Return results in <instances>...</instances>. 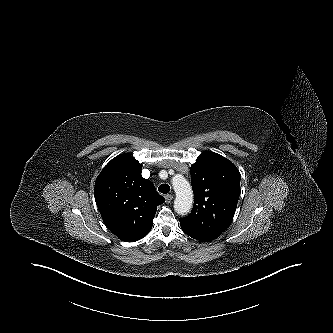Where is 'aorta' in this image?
Wrapping results in <instances>:
<instances>
[{
	"label": "aorta",
	"mask_w": 333,
	"mask_h": 333,
	"mask_svg": "<svg viewBox=\"0 0 333 333\" xmlns=\"http://www.w3.org/2000/svg\"><path fill=\"white\" fill-rule=\"evenodd\" d=\"M173 189L176 193L174 201V210L179 215H186L192 208L193 192L189 182L178 177L173 180Z\"/></svg>",
	"instance_id": "762f6f07"
}]
</instances>
